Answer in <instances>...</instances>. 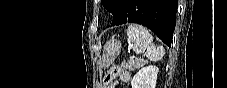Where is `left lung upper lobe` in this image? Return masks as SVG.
Returning a JSON list of instances; mask_svg holds the SVG:
<instances>
[{
  "mask_svg": "<svg viewBox=\"0 0 227 88\" xmlns=\"http://www.w3.org/2000/svg\"><path fill=\"white\" fill-rule=\"evenodd\" d=\"M101 1L103 6L107 9V11L114 15L119 0H101Z\"/></svg>",
  "mask_w": 227,
  "mask_h": 88,
  "instance_id": "1",
  "label": "left lung upper lobe"
}]
</instances>
